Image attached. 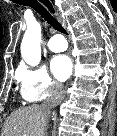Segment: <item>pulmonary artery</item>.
<instances>
[{"label":"pulmonary artery","instance_id":"1","mask_svg":"<svg viewBox=\"0 0 117 136\" xmlns=\"http://www.w3.org/2000/svg\"><path fill=\"white\" fill-rule=\"evenodd\" d=\"M48 48L52 52H62L67 48V42L61 36L55 35L49 40Z\"/></svg>","mask_w":117,"mask_h":136}]
</instances>
